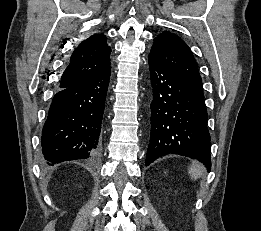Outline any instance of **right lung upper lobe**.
I'll use <instances>...</instances> for the list:
<instances>
[{
  "label": "right lung upper lobe",
  "instance_id": "obj_1",
  "mask_svg": "<svg viewBox=\"0 0 261 231\" xmlns=\"http://www.w3.org/2000/svg\"><path fill=\"white\" fill-rule=\"evenodd\" d=\"M111 48L103 34H94L73 51L59 87L66 88L90 79L110 67Z\"/></svg>",
  "mask_w": 261,
  "mask_h": 231
}]
</instances>
